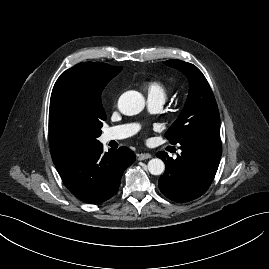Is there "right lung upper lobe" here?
<instances>
[{"label":"right lung upper lobe","mask_w":269,"mask_h":269,"mask_svg":"<svg viewBox=\"0 0 269 269\" xmlns=\"http://www.w3.org/2000/svg\"><path fill=\"white\" fill-rule=\"evenodd\" d=\"M76 69L83 72L80 79L66 82L59 80L55 88H61L66 98L73 103L86 102L104 111L101 93L106 84L122 70V67L101 62H84L75 65L69 71Z\"/></svg>","instance_id":"cb5924a9"}]
</instances>
